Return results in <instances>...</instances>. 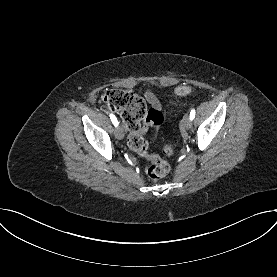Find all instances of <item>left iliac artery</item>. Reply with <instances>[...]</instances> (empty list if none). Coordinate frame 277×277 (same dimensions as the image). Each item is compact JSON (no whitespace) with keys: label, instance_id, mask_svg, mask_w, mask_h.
Returning a JSON list of instances; mask_svg holds the SVG:
<instances>
[{"label":"left iliac artery","instance_id":"left-iliac-artery-1","mask_svg":"<svg viewBox=\"0 0 277 277\" xmlns=\"http://www.w3.org/2000/svg\"><path fill=\"white\" fill-rule=\"evenodd\" d=\"M194 117H195V110L192 109V110L190 111V118H191V120H193Z\"/></svg>","mask_w":277,"mask_h":277}]
</instances>
